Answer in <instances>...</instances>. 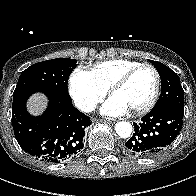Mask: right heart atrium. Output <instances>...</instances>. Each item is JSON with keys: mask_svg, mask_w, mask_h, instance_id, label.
I'll return each instance as SVG.
<instances>
[{"mask_svg": "<svg viewBox=\"0 0 196 196\" xmlns=\"http://www.w3.org/2000/svg\"><path fill=\"white\" fill-rule=\"evenodd\" d=\"M69 91L75 105L84 112L93 111L107 92L92 73L83 68H76L71 74Z\"/></svg>", "mask_w": 196, "mask_h": 196, "instance_id": "1", "label": "right heart atrium"}]
</instances>
